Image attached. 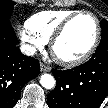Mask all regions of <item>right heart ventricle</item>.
<instances>
[{"mask_svg": "<svg viewBox=\"0 0 108 108\" xmlns=\"http://www.w3.org/2000/svg\"><path fill=\"white\" fill-rule=\"evenodd\" d=\"M76 12L78 11L67 9L40 11L28 19L27 27L33 34L47 43L60 24Z\"/></svg>", "mask_w": 108, "mask_h": 108, "instance_id": "obj_1", "label": "right heart ventricle"}]
</instances>
